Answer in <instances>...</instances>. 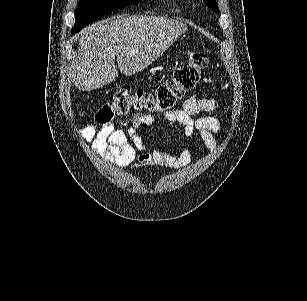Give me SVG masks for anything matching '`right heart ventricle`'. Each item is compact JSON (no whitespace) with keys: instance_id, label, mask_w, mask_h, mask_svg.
<instances>
[{"instance_id":"e07e8e85","label":"right heart ventricle","mask_w":307,"mask_h":301,"mask_svg":"<svg viewBox=\"0 0 307 301\" xmlns=\"http://www.w3.org/2000/svg\"><path fill=\"white\" fill-rule=\"evenodd\" d=\"M168 10H167V15L168 17H177L178 12L177 10H169V5H167Z\"/></svg>"}]
</instances>
